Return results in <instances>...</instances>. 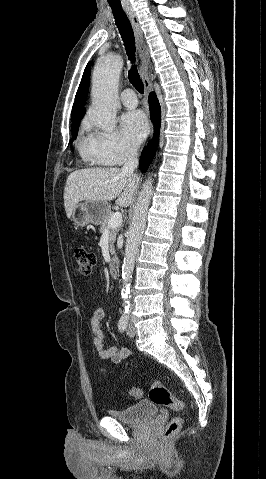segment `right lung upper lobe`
I'll return each instance as SVG.
<instances>
[{
  "instance_id": "cb5924a9",
  "label": "right lung upper lobe",
  "mask_w": 266,
  "mask_h": 479,
  "mask_svg": "<svg viewBox=\"0 0 266 479\" xmlns=\"http://www.w3.org/2000/svg\"><path fill=\"white\" fill-rule=\"evenodd\" d=\"M90 73H91V67H90V63H88V65L86 66L84 70L79 88L75 96L76 101L73 104V108L71 112L72 122L81 120L85 114L86 110L83 106L85 105L86 98L88 95Z\"/></svg>"
}]
</instances>
